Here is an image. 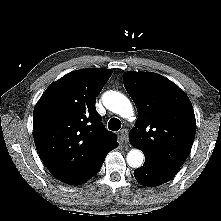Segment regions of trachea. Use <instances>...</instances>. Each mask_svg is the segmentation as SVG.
<instances>
[{
	"label": "trachea",
	"mask_w": 221,
	"mask_h": 221,
	"mask_svg": "<svg viewBox=\"0 0 221 221\" xmlns=\"http://www.w3.org/2000/svg\"><path fill=\"white\" fill-rule=\"evenodd\" d=\"M108 128L112 131H118L121 128V121L117 118L110 119Z\"/></svg>",
	"instance_id": "3493384b"
}]
</instances>
